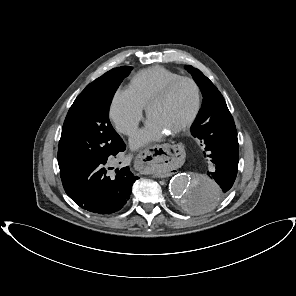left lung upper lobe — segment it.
Wrapping results in <instances>:
<instances>
[{
	"label": "left lung upper lobe",
	"mask_w": 296,
	"mask_h": 296,
	"mask_svg": "<svg viewBox=\"0 0 296 296\" xmlns=\"http://www.w3.org/2000/svg\"><path fill=\"white\" fill-rule=\"evenodd\" d=\"M185 68L191 73L193 79L198 84L203 94L202 107L196 117V120L191 126L192 136L201 139L198 135V132L201 129L200 126L206 123L210 116L226 103L218 89L200 70L193 68L191 65H188Z\"/></svg>",
	"instance_id": "1"
}]
</instances>
